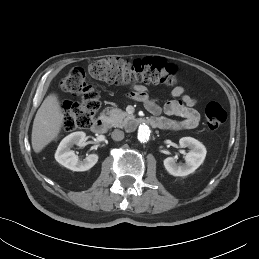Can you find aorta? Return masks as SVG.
Returning <instances> with one entry per match:
<instances>
[{
	"label": "aorta",
	"instance_id": "aorta-1",
	"mask_svg": "<svg viewBox=\"0 0 259 259\" xmlns=\"http://www.w3.org/2000/svg\"><path fill=\"white\" fill-rule=\"evenodd\" d=\"M137 138L140 142H147L151 136V130L146 124H140L136 131Z\"/></svg>",
	"mask_w": 259,
	"mask_h": 259
}]
</instances>
